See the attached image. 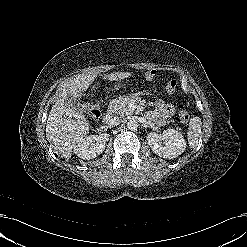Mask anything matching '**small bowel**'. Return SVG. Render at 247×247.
<instances>
[{
    "instance_id": "1",
    "label": "small bowel",
    "mask_w": 247,
    "mask_h": 247,
    "mask_svg": "<svg viewBox=\"0 0 247 247\" xmlns=\"http://www.w3.org/2000/svg\"><path fill=\"white\" fill-rule=\"evenodd\" d=\"M155 75L154 70H149L145 73L147 80L153 79ZM175 108L172 104L165 103L164 101H158L154 111L151 113L152 121L157 125H162L164 121L174 114Z\"/></svg>"
}]
</instances>
